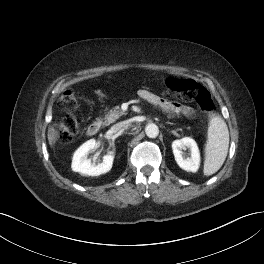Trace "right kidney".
<instances>
[{"label": "right kidney", "mask_w": 264, "mask_h": 264, "mask_svg": "<svg viewBox=\"0 0 264 264\" xmlns=\"http://www.w3.org/2000/svg\"><path fill=\"white\" fill-rule=\"evenodd\" d=\"M98 147L95 139H90L82 144L74 153L71 168L83 175L98 176L111 170L114 155L109 153L103 157V162L92 164L87 158L88 154Z\"/></svg>", "instance_id": "obj_1"}]
</instances>
